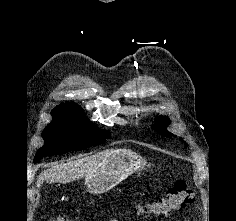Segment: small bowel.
<instances>
[{
  "label": "small bowel",
  "instance_id": "obj_1",
  "mask_svg": "<svg viewBox=\"0 0 236 221\" xmlns=\"http://www.w3.org/2000/svg\"><path fill=\"white\" fill-rule=\"evenodd\" d=\"M110 221H122V214H117L114 218H112ZM189 221V220H186Z\"/></svg>",
  "mask_w": 236,
  "mask_h": 221
}]
</instances>
